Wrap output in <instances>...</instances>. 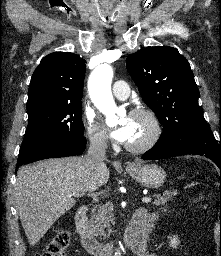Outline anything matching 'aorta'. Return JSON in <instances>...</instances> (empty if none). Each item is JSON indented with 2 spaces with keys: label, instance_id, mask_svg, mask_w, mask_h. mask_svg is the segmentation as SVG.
I'll list each match as a JSON object with an SVG mask.
<instances>
[{
  "label": "aorta",
  "instance_id": "aorta-1",
  "mask_svg": "<svg viewBox=\"0 0 221 256\" xmlns=\"http://www.w3.org/2000/svg\"><path fill=\"white\" fill-rule=\"evenodd\" d=\"M113 69L110 65L97 66L88 80L89 95L94 105L106 116L107 120L116 118L118 108L111 92Z\"/></svg>",
  "mask_w": 221,
  "mask_h": 256
}]
</instances>
